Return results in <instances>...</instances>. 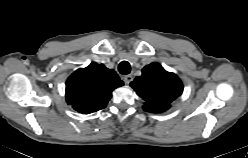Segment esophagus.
<instances>
[{
	"label": "esophagus",
	"mask_w": 248,
	"mask_h": 158,
	"mask_svg": "<svg viewBox=\"0 0 248 158\" xmlns=\"http://www.w3.org/2000/svg\"><path fill=\"white\" fill-rule=\"evenodd\" d=\"M123 80L126 84H129L133 80V76L131 74L125 75Z\"/></svg>",
	"instance_id": "34e87169"
}]
</instances>
